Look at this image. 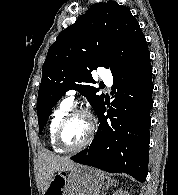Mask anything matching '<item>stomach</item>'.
<instances>
[{
	"instance_id": "obj_1",
	"label": "stomach",
	"mask_w": 178,
	"mask_h": 195,
	"mask_svg": "<svg viewBox=\"0 0 178 195\" xmlns=\"http://www.w3.org/2000/svg\"><path fill=\"white\" fill-rule=\"evenodd\" d=\"M105 174L93 167L78 165L68 171L57 172L45 194L98 195Z\"/></svg>"
}]
</instances>
